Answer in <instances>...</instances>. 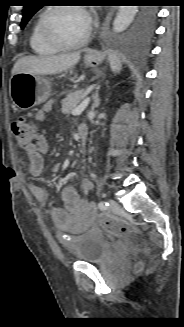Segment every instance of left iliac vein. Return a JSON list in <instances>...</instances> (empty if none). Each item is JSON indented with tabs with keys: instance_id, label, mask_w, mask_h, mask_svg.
I'll return each instance as SVG.
<instances>
[{
	"instance_id": "4c4485c4",
	"label": "left iliac vein",
	"mask_w": 184,
	"mask_h": 327,
	"mask_svg": "<svg viewBox=\"0 0 184 327\" xmlns=\"http://www.w3.org/2000/svg\"><path fill=\"white\" fill-rule=\"evenodd\" d=\"M109 204H110V209L113 212H118L120 210V206L115 200L113 199L109 200Z\"/></svg>"
}]
</instances>
